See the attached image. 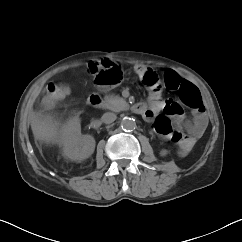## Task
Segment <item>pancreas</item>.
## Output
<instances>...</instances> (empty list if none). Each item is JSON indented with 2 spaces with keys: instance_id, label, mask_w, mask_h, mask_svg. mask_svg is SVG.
<instances>
[{
  "instance_id": "obj_1",
  "label": "pancreas",
  "mask_w": 242,
  "mask_h": 242,
  "mask_svg": "<svg viewBox=\"0 0 242 242\" xmlns=\"http://www.w3.org/2000/svg\"><path fill=\"white\" fill-rule=\"evenodd\" d=\"M104 99L106 108L114 112H120L128 107L127 102L118 95H106Z\"/></svg>"
}]
</instances>
